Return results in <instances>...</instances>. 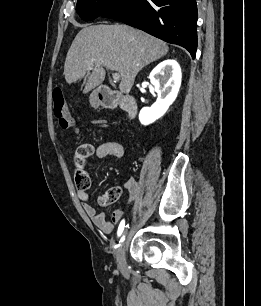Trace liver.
<instances>
[{
  "label": "liver",
  "mask_w": 261,
  "mask_h": 306,
  "mask_svg": "<svg viewBox=\"0 0 261 306\" xmlns=\"http://www.w3.org/2000/svg\"><path fill=\"white\" fill-rule=\"evenodd\" d=\"M168 50L165 42L127 25L88 26L79 31L68 50L64 76L68 84L76 83L91 70L83 90L88 93L103 83L105 68L110 69L121 77L120 91L128 94L138 72Z\"/></svg>",
  "instance_id": "1"
}]
</instances>
